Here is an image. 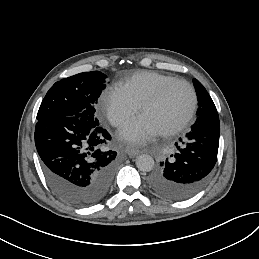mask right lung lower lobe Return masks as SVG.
Segmentation results:
<instances>
[{"label":"right lung lower lobe","mask_w":259,"mask_h":259,"mask_svg":"<svg viewBox=\"0 0 259 259\" xmlns=\"http://www.w3.org/2000/svg\"><path fill=\"white\" fill-rule=\"evenodd\" d=\"M110 134L99 123L52 116L36 123L35 145L45 177L65 202L93 205L108 193L117 153L105 145Z\"/></svg>","instance_id":"1"}]
</instances>
